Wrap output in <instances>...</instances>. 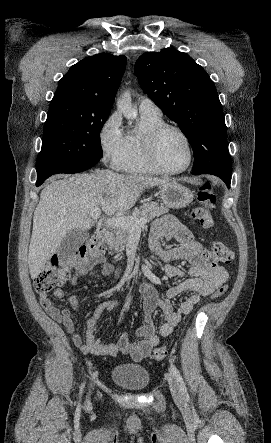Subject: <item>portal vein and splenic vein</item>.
Instances as JSON below:
<instances>
[{
  "label": "portal vein and splenic vein",
  "instance_id": "1",
  "mask_svg": "<svg viewBox=\"0 0 271 443\" xmlns=\"http://www.w3.org/2000/svg\"><path fill=\"white\" fill-rule=\"evenodd\" d=\"M90 216L93 218V220H98L101 216V208H93V210H90ZM106 225L108 227H122V229H140L142 225H145L147 223L146 218H132V216H126V218H109V220H105Z\"/></svg>",
  "mask_w": 271,
  "mask_h": 443
}]
</instances>
